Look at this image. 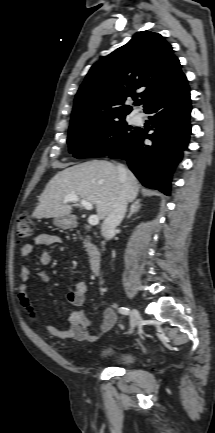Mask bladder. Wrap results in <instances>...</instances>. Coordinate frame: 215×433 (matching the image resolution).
<instances>
[{
    "label": "bladder",
    "mask_w": 215,
    "mask_h": 433,
    "mask_svg": "<svg viewBox=\"0 0 215 433\" xmlns=\"http://www.w3.org/2000/svg\"><path fill=\"white\" fill-rule=\"evenodd\" d=\"M98 359L116 363L123 366L133 365L138 361V356L132 352L119 350L111 346L101 348L97 353Z\"/></svg>",
    "instance_id": "obj_1"
}]
</instances>
